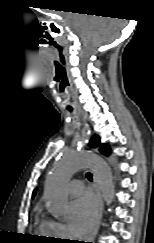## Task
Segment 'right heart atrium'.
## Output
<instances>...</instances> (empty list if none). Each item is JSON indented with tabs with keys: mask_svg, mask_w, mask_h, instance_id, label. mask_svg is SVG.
<instances>
[{
	"mask_svg": "<svg viewBox=\"0 0 154 243\" xmlns=\"http://www.w3.org/2000/svg\"><path fill=\"white\" fill-rule=\"evenodd\" d=\"M50 222V226H51V230L54 236L59 237V238H69L70 234L68 232L67 227L59 222V221H55V220H49Z\"/></svg>",
	"mask_w": 154,
	"mask_h": 243,
	"instance_id": "obj_1",
	"label": "right heart atrium"
}]
</instances>
